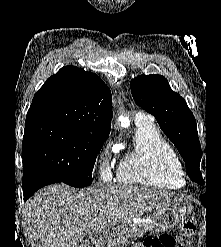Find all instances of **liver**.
Wrapping results in <instances>:
<instances>
[{"label": "liver", "instance_id": "1", "mask_svg": "<svg viewBox=\"0 0 221 247\" xmlns=\"http://www.w3.org/2000/svg\"><path fill=\"white\" fill-rule=\"evenodd\" d=\"M150 188L114 185L75 193L62 184L49 186L25 204L42 247H77L90 230L102 231L156 210L176 198Z\"/></svg>", "mask_w": 221, "mask_h": 247}]
</instances>
